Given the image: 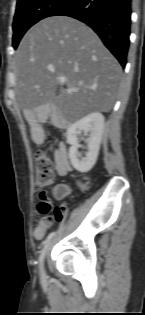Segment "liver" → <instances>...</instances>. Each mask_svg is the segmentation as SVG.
I'll return each instance as SVG.
<instances>
[{"instance_id":"liver-1","label":"liver","mask_w":145,"mask_h":315,"mask_svg":"<svg viewBox=\"0 0 145 315\" xmlns=\"http://www.w3.org/2000/svg\"><path fill=\"white\" fill-rule=\"evenodd\" d=\"M13 69L15 102L25 118L32 121L42 110L53 122L66 125L94 111L109 112L122 74L98 35L67 16L48 17L31 27L20 42Z\"/></svg>"}]
</instances>
